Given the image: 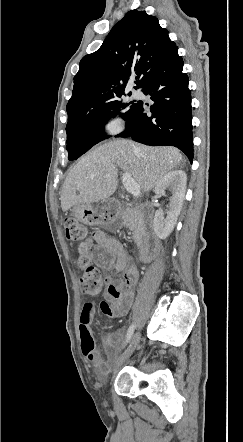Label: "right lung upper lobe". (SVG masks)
Wrapping results in <instances>:
<instances>
[{
	"label": "right lung upper lobe",
	"instance_id": "right-lung-upper-lobe-1",
	"mask_svg": "<svg viewBox=\"0 0 243 442\" xmlns=\"http://www.w3.org/2000/svg\"><path fill=\"white\" fill-rule=\"evenodd\" d=\"M178 50L158 19L137 9L129 11L112 28L101 47L82 58L74 77L68 119L124 94L136 73L135 89Z\"/></svg>",
	"mask_w": 243,
	"mask_h": 442
}]
</instances>
